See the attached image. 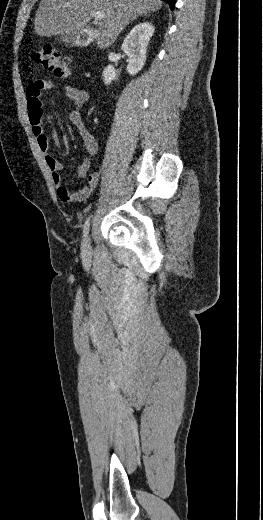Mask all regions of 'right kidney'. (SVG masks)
I'll return each mask as SVG.
<instances>
[{
	"mask_svg": "<svg viewBox=\"0 0 263 520\" xmlns=\"http://www.w3.org/2000/svg\"><path fill=\"white\" fill-rule=\"evenodd\" d=\"M154 31L155 28L151 23L143 22L136 25L126 36L121 49L128 56L127 72L129 75H136L144 67L147 46ZM102 76L106 85L118 79L113 65H108Z\"/></svg>",
	"mask_w": 263,
	"mask_h": 520,
	"instance_id": "1",
	"label": "right kidney"
}]
</instances>
